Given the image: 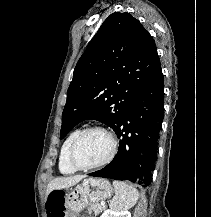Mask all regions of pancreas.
Segmentation results:
<instances>
[{"mask_svg":"<svg viewBox=\"0 0 211 217\" xmlns=\"http://www.w3.org/2000/svg\"><path fill=\"white\" fill-rule=\"evenodd\" d=\"M103 210H104V207H102L98 203H91V204H89V207H88V213L89 214H91L92 212H94L95 215H98Z\"/></svg>","mask_w":211,"mask_h":217,"instance_id":"1","label":"pancreas"}]
</instances>
